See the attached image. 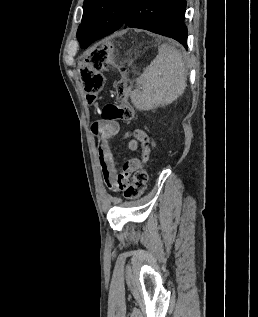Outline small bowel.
<instances>
[{"instance_id": "1", "label": "small bowel", "mask_w": 258, "mask_h": 317, "mask_svg": "<svg viewBox=\"0 0 258 317\" xmlns=\"http://www.w3.org/2000/svg\"><path fill=\"white\" fill-rule=\"evenodd\" d=\"M91 129L98 140L99 163L107 186L114 191L124 190L128 186L130 175L140 170L150 159L155 148L153 137L141 129L125 132L119 140H129V148L138 151V156L126 161L118 171V162L109 142L119 133L118 123L100 120L94 122Z\"/></svg>"}]
</instances>
